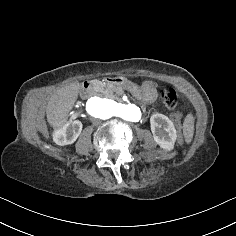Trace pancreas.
<instances>
[{"instance_id": "pancreas-1", "label": "pancreas", "mask_w": 236, "mask_h": 236, "mask_svg": "<svg viewBox=\"0 0 236 236\" xmlns=\"http://www.w3.org/2000/svg\"><path fill=\"white\" fill-rule=\"evenodd\" d=\"M94 84H95L96 90L99 91L98 93H99L100 97H106V98H110V99H115V98H117V95H114L113 94L114 92L118 91L119 95L123 94L122 89L114 88L111 85H106L105 83H103L101 81L95 80ZM142 108H144L143 105H142Z\"/></svg>"}]
</instances>
